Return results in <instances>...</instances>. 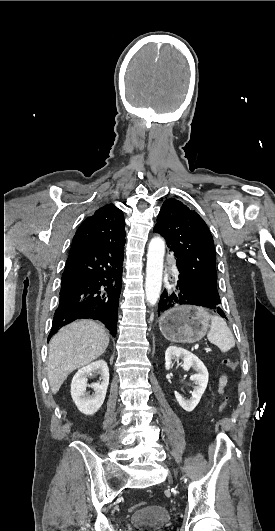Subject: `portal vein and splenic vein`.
Masks as SVG:
<instances>
[{
    "mask_svg": "<svg viewBox=\"0 0 275 531\" xmlns=\"http://www.w3.org/2000/svg\"><path fill=\"white\" fill-rule=\"evenodd\" d=\"M194 349H198V346H194ZM204 350L212 351V348H210V347H204Z\"/></svg>",
    "mask_w": 275,
    "mask_h": 531,
    "instance_id": "18ae733b",
    "label": "portal vein and splenic vein"
}]
</instances>
